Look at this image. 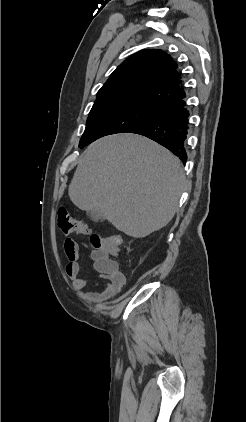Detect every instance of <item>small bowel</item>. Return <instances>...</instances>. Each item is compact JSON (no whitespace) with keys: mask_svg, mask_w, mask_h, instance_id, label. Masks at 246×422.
I'll return each mask as SVG.
<instances>
[{"mask_svg":"<svg viewBox=\"0 0 246 422\" xmlns=\"http://www.w3.org/2000/svg\"><path fill=\"white\" fill-rule=\"evenodd\" d=\"M84 246L87 247L85 244ZM64 250L68 258L66 274L72 280L74 286L77 289L84 290L90 285V282L86 278L80 276L81 264L79 260L81 258V251L79 243L72 239H67L64 243ZM91 259L94 263V269L107 280V283L105 284V287L102 291L84 292V296L88 300L96 303L107 301L120 292L123 285L125 284V277L122 274L120 268L115 275H110L104 272L102 269L103 257L101 253L93 251L91 253ZM94 285L97 286L98 283L96 282Z\"/></svg>","mask_w":246,"mask_h":422,"instance_id":"c3829d8e","label":"small bowel"}]
</instances>
